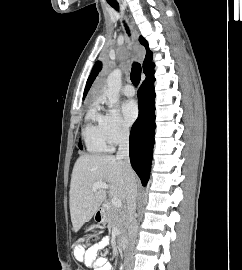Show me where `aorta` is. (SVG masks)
<instances>
[{
	"label": "aorta",
	"instance_id": "obj_1",
	"mask_svg": "<svg viewBox=\"0 0 242 270\" xmlns=\"http://www.w3.org/2000/svg\"><path fill=\"white\" fill-rule=\"evenodd\" d=\"M121 79H122V72L120 69H115L107 77L105 95L108 98L110 107L115 106L119 101Z\"/></svg>",
	"mask_w": 242,
	"mask_h": 270
}]
</instances>
